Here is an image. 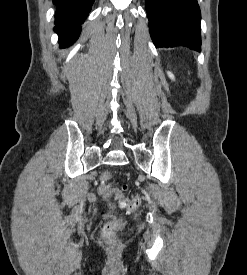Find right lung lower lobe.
Instances as JSON below:
<instances>
[{
    "instance_id": "1",
    "label": "right lung lower lobe",
    "mask_w": 247,
    "mask_h": 275,
    "mask_svg": "<svg viewBox=\"0 0 247 275\" xmlns=\"http://www.w3.org/2000/svg\"><path fill=\"white\" fill-rule=\"evenodd\" d=\"M94 0H53L57 6L54 31L62 48L72 45L78 38L81 26L92 9Z\"/></svg>"
}]
</instances>
